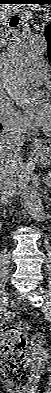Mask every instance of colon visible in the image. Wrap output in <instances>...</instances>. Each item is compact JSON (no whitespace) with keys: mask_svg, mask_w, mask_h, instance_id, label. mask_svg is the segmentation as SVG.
<instances>
[{"mask_svg":"<svg viewBox=\"0 0 51 393\" xmlns=\"http://www.w3.org/2000/svg\"><path fill=\"white\" fill-rule=\"evenodd\" d=\"M28 327L21 323H11L1 332L2 374L16 391H25L33 378L34 365L26 353ZM36 346H42L45 338L36 332L33 336Z\"/></svg>","mask_w":51,"mask_h":393,"instance_id":"5ec220e1","label":"colon"}]
</instances>
